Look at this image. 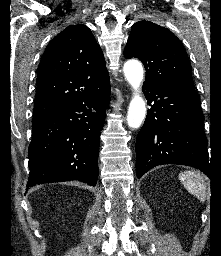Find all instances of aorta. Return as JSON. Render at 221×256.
Wrapping results in <instances>:
<instances>
[{
  "label": "aorta",
  "mask_w": 221,
  "mask_h": 256,
  "mask_svg": "<svg viewBox=\"0 0 221 256\" xmlns=\"http://www.w3.org/2000/svg\"><path fill=\"white\" fill-rule=\"evenodd\" d=\"M123 70L125 78L134 90L129 104L127 123L129 127L136 129L140 127L146 115L145 102L140 95L144 75L143 67L140 62L132 60L125 63Z\"/></svg>",
  "instance_id": "1"
}]
</instances>
